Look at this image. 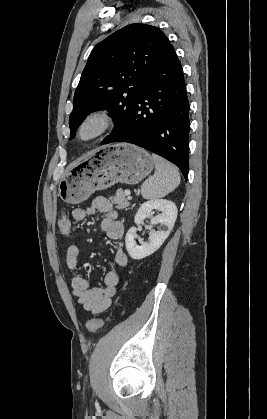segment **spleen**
Returning a JSON list of instances; mask_svg holds the SVG:
<instances>
[{"mask_svg":"<svg viewBox=\"0 0 267 419\" xmlns=\"http://www.w3.org/2000/svg\"><path fill=\"white\" fill-rule=\"evenodd\" d=\"M152 159L155 173L141 186V195L145 199L164 197L180 184V174L173 164L156 154H152Z\"/></svg>","mask_w":267,"mask_h":419,"instance_id":"1","label":"spleen"}]
</instances>
